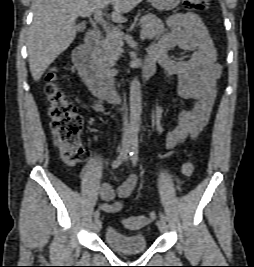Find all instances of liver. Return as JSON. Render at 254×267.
Listing matches in <instances>:
<instances>
[{
    "mask_svg": "<svg viewBox=\"0 0 254 267\" xmlns=\"http://www.w3.org/2000/svg\"><path fill=\"white\" fill-rule=\"evenodd\" d=\"M143 0H35L27 50L32 77L38 81L50 64L76 37V20L93 11L113 6L111 19L122 23L127 14Z\"/></svg>",
    "mask_w": 254,
    "mask_h": 267,
    "instance_id": "liver-1",
    "label": "liver"
}]
</instances>
